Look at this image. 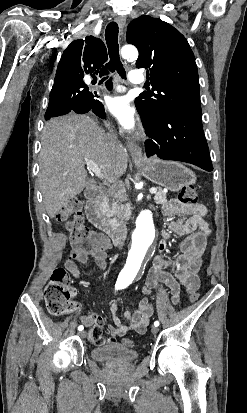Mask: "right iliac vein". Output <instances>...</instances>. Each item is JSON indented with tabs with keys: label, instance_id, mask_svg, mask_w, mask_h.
<instances>
[{
	"label": "right iliac vein",
	"instance_id": "63e3f726",
	"mask_svg": "<svg viewBox=\"0 0 247 413\" xmlns=\"http://www.w3.org/2000/svg\"><path fill=\"white\" fill-rule=\"evenodd\" d=\"M79 336H80L81 338L86 337V331L80 332V333H79Z\"/></svg>",
	"mask_w": 247,
	"mask_h": 413
}]
</instances>
